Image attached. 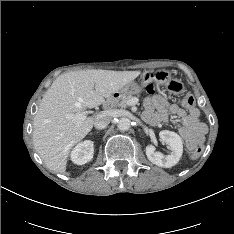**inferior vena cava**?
<instances>
[{"instance_id": "602c4592", "label": "inferior vena cava", "mask_w": 234, "mask_h": 234, "mask_svg": "<svg viewBox=\"0 0 234 234\" xmlns=\"http://www.w3.org/2000/svg\"><path fill=\"white\" fill-rule=\"evenodd\" d=\"M112 117L111 115L106 112H100L94 120V126L96 129L101 130L104 129L111 121Z\"/></svg>"}]
</instances>
